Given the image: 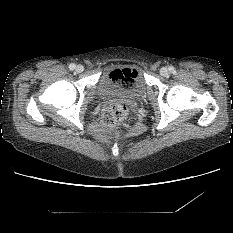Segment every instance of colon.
<instances>
[{
	"label": "colon",
	"mask_w": 233,
	"mask_h": 233,
	"mask_svg": "<svg viewBox=\"0 0 233 233\" xmlns=\"http://www.w3.org/2000/svg\"><path fill=\"white\" fill-rule=\"evenodd\" d=\"M115 74L125 87L132 84V74L128 69H118L115 71ZM129 113V106L125 102L106 103L101 108L102 129L112 136L119 134L122 131L124 120Z\"/></svg>",
	"instance_id": "colon-1"
}]
</instances>
